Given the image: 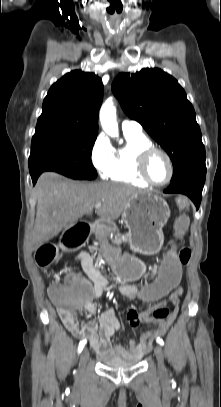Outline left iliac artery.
Instances as JSON below:
<instances>
[{
    "mask_svg": "<svg viewBox=\"0 0 221 407\" xmlns=\"http://www.w3.org/2000/svg\"><path fill=\"white\" fill-rule=\"evenodd\" d=\"M157 342H158L161 346L164 345V341H163L161 338H157Z\"/></svg>",
    "mask_w": 221,
    "mask_h": 407,
    "instance_id": "left-iliac-artery-1",
    "label": "left iliac artery"
}]
</instances>
